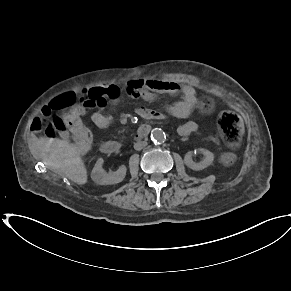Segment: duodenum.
Listing matches in <instances>:
<instances>
[{
  "label": "duodenum",
  "instance_id": "1",
  "mask_svg": "<svg viewBox=\"0 0 291 291\" xmlns=\"http://www.w3.org/2000/svg\"><path fill=\"white\" fill-rule=\"evenodd\" d=\"M149 131H150V127L148 125H142L139 127L135 138L137 140L142 139L148 135ZM119 149H120V144L113 140H108L101 144V151L105 154L116 153L119 151Z\"/></svg>",
  "mask_w": 291,
  "mask_h": 291
}]
</instances>
